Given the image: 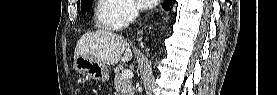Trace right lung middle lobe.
Here are the masks:
<instances>
[{"instance_id": "obj_1", "label": "right lung middle lobe", "mask_w": 277, "mask_h": 95, "mask_svg": "<svg viewBox=\"0 0 277 95\" xmlns=\"http://www.w3.org/2000/svg\"><path fill=\"white\" fill-rule=\"evenodd\" d=\"M93 0H84L81 2V12L82 14H85L88 9L91 8Z\"/></svg>"}]
</instances>
